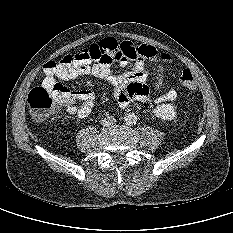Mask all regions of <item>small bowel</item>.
<instances>
[{"mask_svg": "<svg viewBox=\"0 0 233 233\" xmlns=\"http://www.w3.org/2000/svg\"><path fill=\"white\" fill-rule=\"evenodd\" d=\"M92 45L102 50V57L78 60L68 66L48 67L46 65L48 62L44 66L45 79L42 85L60 98L67 114L78 118L87 117L94 106L95 95L90 90L70 91L58 83L57 79L69 81L81 76L102 79L112 86L114 96L121 107H127L132 101L159 104L171 102L177 98V92L174 89L154 95L147 85L148 72L145 59L154 61L159 69L155 87L160 90L164 85L162 69L171 63L170 55L152 46H137L129 41L118 42L112 38ZM114 45L119 49V56L110 49ZM115 61L123 67L125 73L114 74L112 64ZM78 101L80 104L77 106Z\"/></svg>", "mask_w": 233, "mask_h": 233, "instance_id": "obj_1", "label": "small bowel"}]
</instances>
